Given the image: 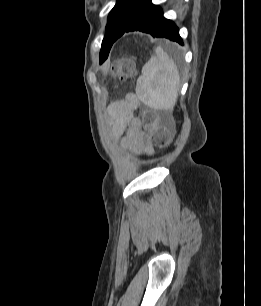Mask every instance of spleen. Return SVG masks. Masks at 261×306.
Wrapping results in <instances>:
<instances>
[{
  "label": "spleen",
  "instance_id": "spleen-1",
  "mask_svg": "<svg viewBox=\"0 0 261 306\" xmlns=\"http://www.w3.org/2000/svg\"><path fill=\"white\" fill-rule=\"evenodd\" d=\"M155 53L142 68L136 94L153 109L172 111L178 97L180 75L174 61L161 47H157Z\"/></svg>",
  "mask_w": 261,
  "mask_h": 306
}]
</instances>
